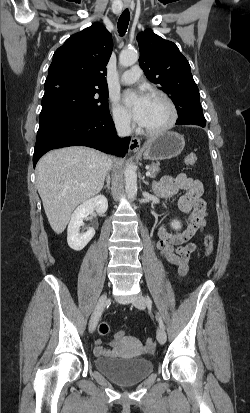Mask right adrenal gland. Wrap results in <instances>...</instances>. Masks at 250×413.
<instances>
[{
  "label": "right adrenal gland",
  "instance_id": "2a0ac1e0",
  "mask_svg": "<svg viewBox=\"0 0 250 413\" xmlns=\"http://www.w3.org/2000/svg\"><path fill=\"white\" fill-rule=\"evenodd\" d=\"M104 189H110V176H108L107 177V180H106V185L104 186Z\"/></svg>",
  "mask_w": 250,
  "mask_h": 413
}]
</instances>
